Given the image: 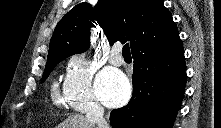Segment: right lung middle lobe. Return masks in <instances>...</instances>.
Wrapping results in <instances>:
<instances>
[{
  "label": "right lung middle lobe",
  "mask_w": 221,
  "mask_h": 128,
  "mask_svg": "<svg viewBox=\"0 0 221 128\" xmlns=\"http://www.w3.org/2000/svg\"><path fill=\"white\" fill-rule=\"evenodd\" d=\"M63 59L65 58L46 64V67L42 76V80H41L42 83L46 80V78L49 76L50 72L54 69V67Z\"/></svg>",
  "instance_id": "obj_1"
}]
</instances>
